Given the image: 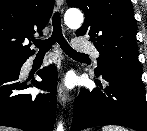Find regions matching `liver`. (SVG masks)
<instances>
[{
	"mask_svg": "<svg viewBox=\"0 0 147 131\" xmlns=\"http://www.w3.org/2000/svg\"><path fill=\"white\" fill-rule=\"evenodd\" d=\"M0 131H14V130L10 128L0 127Z\"/></svg>",
	"mask_w": 147,
	"mask_h": 131,
	"instance_id": "6515ba94",
	"label": "liver"
}]
</instances>
